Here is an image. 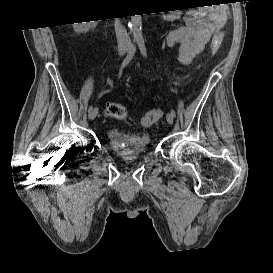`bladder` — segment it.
Here are the masks:
<instances>
[{"mask_svg": "<svg viewBox=\"0 0 273 273\" xmlns=\"http://www.w3.org/2000/svg\"><path fill=\"white\" fill-rule=\"evenodd\" d=\"M109 148L121 159H132L143 154L150 146V136L147 133L125 132L119 129H109L106 132Z\"/></svg>", "mask_w": 273, "mask_h": 273, "instance_id": "obj_1", "label": "bladder"}]
</instances>
